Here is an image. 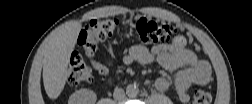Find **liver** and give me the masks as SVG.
Here are the masks:
<instances>
[{
	"label": "liver",
	"mask_w": 252,
	"mask_h": 104,
	"mask_svg": "<svg viewBox=\"0 0 252 104\" xmlns=\"http://www.w3.org/2000/svg\"><path fill=\"white\" fill-rule=\"evenodd\" d=\"M81 29L80 23L59 29L45 51L43 83L50 99L58 98L65 86L70 56Z\"/></svg>",
	"instance_id": "liver-1"
}]
</instances>
